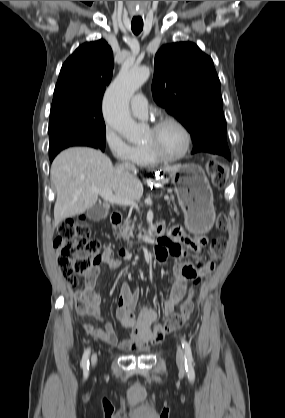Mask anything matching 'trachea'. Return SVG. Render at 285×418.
Listing matches in <instances>:
<instances>
[{"label":"trachea","mask_w":285,"mask_h":418,"mask_svg":"<svg viewBox=\"0 0 285 418\" xmlns=\"http://www.w3.org/2000/svg\"><path fill=\"white\" fill-rule=\"evenodd\" d=\"M131 29L134 34H140L143 29V20L141 17H133L131 22Z\"/></svg>","instance_id":"1"}]
</instances>
